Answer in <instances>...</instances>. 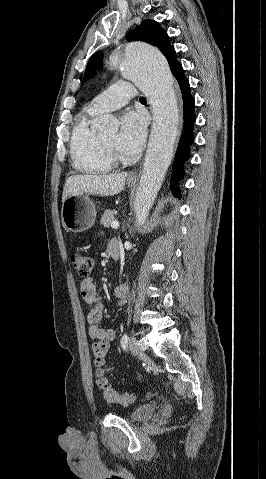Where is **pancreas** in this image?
I'll return each instance as SVG.
<instances>
[{"mask_svg":"<svg viewBox=\"0 0 266 479\" xmlns=\"http://www.w3.org/2000/svg\"><path fill=\"white\" fill-rule=\"evenodd\" d=\"M114 214L115 212L114 211H111V210H106L102 217H101V224L104 226V227H109L111 225V223L113 221H115V217H114Z\"/></svg>","mask_w":266,"mask_h":479,"instance_id":"pancreas-1","label":"pancreas"}]
</instances>
